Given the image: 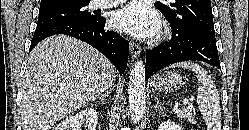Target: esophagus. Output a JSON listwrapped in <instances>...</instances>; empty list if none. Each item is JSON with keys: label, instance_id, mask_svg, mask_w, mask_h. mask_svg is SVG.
<instances>
[{"label": "esophagus", "instance_id": "obj_1", "mask_svg": "<svg viewBox=\"0 0 249 130\" xmlns=\"http://www.w3.org/2000/svg\"><path fill=\"white\" fill-rule=\"evenodd\" d=\"M130 53H131L132 58L136 59L141 53L140 46L134 42H130Z\"/></svg>", "mask_w": 249, "mask_h": 130}]
</instances>
